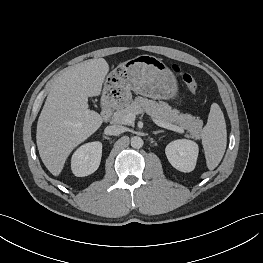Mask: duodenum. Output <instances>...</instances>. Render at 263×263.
Instances as JSON below:
<instances>
[{
	"label": "duodenum",
	"mask_w": 263,
	"mask_h": 263,
	"mask_svg": "<svg viewBox=\"0 0 263 263\" xmlns=\"http://www.w3.org/2000/svg\"><path fill=\"white\" fill-rule=\"evenodd\" d=\"M118 100V98H114L112 100L113 103H115L116 101ZM111 113H112V108L110 105H104L102 108H101V115H102V118L104 120H107L110 116H111Z\"/></svg>",
	"instance_id": "obj_1"
}]
</instances>
